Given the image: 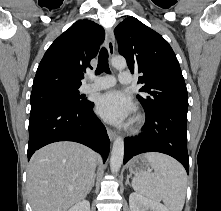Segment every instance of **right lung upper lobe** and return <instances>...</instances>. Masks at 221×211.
<instances>
[{
    "label": "right lung upper lobe",
    "instance_id": "cb5924a9",
    "mask_svg": "<svg viewBox=\"0 0 221 211\" xmlns=\"http://www.w3.org/2000/svg\"><path fill=\"white\" fill-rule=\"evenodd\" d=\"M104 29L93 21L79 20L61 34L45 52L32 91L46 88H79L86 68L99 50Z\"/></svg>",
    "mask_w": 221,
    "mask_h": 211
}]
</instances>
